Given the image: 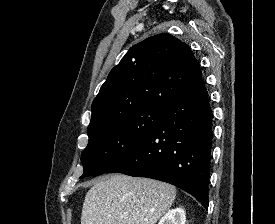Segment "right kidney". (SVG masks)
Wrapping results in <instances>:
<instances>
[{"instance_id": "obj_1", "label": "right kidney", "mask_w": 275, "mask_h": 224, "mask_svg": "<svg viewBox=\"0 0 275 224\" xmlns=\"http://www.w3.org/2000/svg\"><path fill=\"white\" fill-rule=\"evenodd\" d=\"M186 213L183 208L177 207L169 210L159 221L158 224H185Z\"/></svg>"}]
</instances>
